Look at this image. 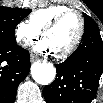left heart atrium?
I'll use <instances>...</instances> for the list:
<instances>
[{
  "instance_id": "39dd6f15",
  "label": "left heart atrium",
  "mask_w": 103,
  "mask_h": 103,
  "mask_svg": "<svg viewBox=\"0 0 103 103\" xmlns=\"http://www.w3.org/2000/svg\"><path fill=\"white\" fill-rule=\"evenodd\" d=\"M34 49L40 53L52 52L49 41L43 38L34 44Z\"/></svg>"
}]
</instances>
